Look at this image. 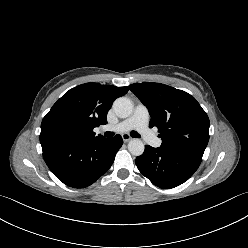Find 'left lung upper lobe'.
I'll return each mask as SVG.
<instances>
[{
	"label": "left lung upper lobe",
	"mask_w": 248,
	"mask_h": 248,
	"mask_svg": "<svg viewBox=\"0 0 248 248\" xmlns=\"http://www.w3.org/2000/svg\"><path fill=\"white\" fill-rule=\"evenodd\" d=\"M129 89L147 107L162 137L160 148L202 158L209 141V118L194 97L185 91L143 82Z\"/></svg>",
	"instance_id": "left-lung-upper-lobe-1"
}]
</instances>
